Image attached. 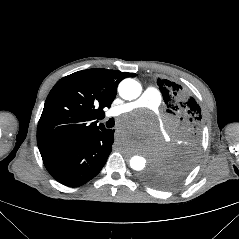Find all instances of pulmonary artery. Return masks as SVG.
I'll return each instance as SVG.
<instances>
[{
	"mask_svg": "<svg viewBox=\"0 0 239 239\" xmlns=\"http://www.w3.org/2000/svg\"><path fill=\"white\" fill-rule=\"evenodd\" d=\"M161 99V94L158 89L155 87H147L137 100L112 108L109 110L108 116L116 117L139 108L157 110L161 104Z\"/></svg>",
	"mask_w": 239,
	"mask_h": 239,
	"instance_id": "1",
	"label": "pulmonary artery"
}]
</instances>
